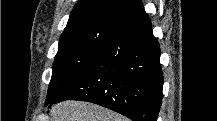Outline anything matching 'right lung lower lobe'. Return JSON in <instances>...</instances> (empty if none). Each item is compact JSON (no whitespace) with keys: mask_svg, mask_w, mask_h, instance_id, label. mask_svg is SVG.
<instances>
[{"mask_svg":"<svg viewBox=\"0 0 217 121\" xmlns=\"http://www.w3.org/2000/svg\"><path fill=\"white\" fill-rule=\"evenodd\" d=\"M160 47L144 11L108 43L99 56L45 105L83 100L134 121H156L162 103Z\"/></svg>","mask_w":217,"mask_h":121,"instance_id":"1","label":"right lung lower lobe"}]
</instances>
